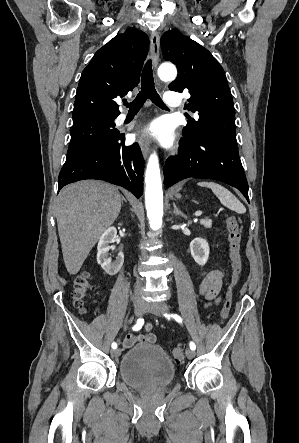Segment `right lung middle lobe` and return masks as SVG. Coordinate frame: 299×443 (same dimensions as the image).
<instances>
[{
    "instance_id": "right-lung-middle-lobe-1",
    "label": "right lung middle lobe",
    "mask_w": 299,
    "mask_h": 443,
    "mask_svg": "<svg viewBox=\"0 0 299 443\" xmlns=\"http://www.w3.org/2000/svg\"><path fill=\"white\" fill-rule=\"evenodd\" d=\"M115 117L89 118L73 124L67 159L89 146L112 139L119 131L115 128Z\"/></svg>"
}]
</instances>
